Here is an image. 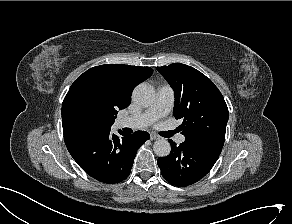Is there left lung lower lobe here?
I'll list each match as a JSON object with an SVG mask.
<instances>
[{"label":"left lung lower lobe","mask_w":292,"mask_h":224,"mask_svg":"<svg viewBox=\"0 0 292 224\" xmlns=\"http://www.w3.org/2000/svg\"><path fill=\"white\" fill-rule=\"evenodd\" d=\"M171 152L167 157L158 158L162 176L175 186L191 185L202 179L214 166V158L190 145L179 146L169 139Z\"/></svg>","instance_id":"0a47b994"}]
</instances>
